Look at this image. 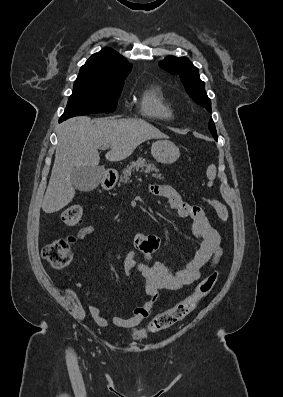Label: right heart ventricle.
I'll return each instance as SVG.
<instances>
[{
	"instance_id": "obj_1",
	"label": "right heart ventricle",
	"mask_w": 283,
	"mask_h": 397,
	"mask_svg": "<svg viewBox=\"0 0 283 397\" xmlns=\"http://www.w3.org/2000/svg\"><path fill=\"white\" fill-rule=\"evenodd\" d=\"M139 105L142 115L150 119L169 120L174 116L173 104L159 86L144 90Z\"/></svg>"
}]
</instances>
